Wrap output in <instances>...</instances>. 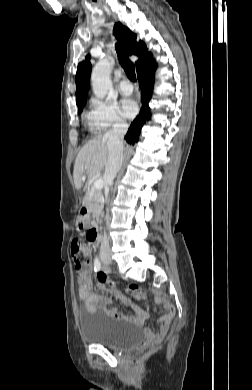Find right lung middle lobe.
I'll use <instances>...</instances> for the list:
<instances>
[{
  "label": "right lung middle lobe",
  "instance_id": "1",
  "mask_svg": "<svg viewBox=\"0 0 252 390\" xmlns=\"http://www.w3.org/2000/svg\"><path fill=\"white\" fill-rule=\"evenodd\" d=\"M83 108V107H82ZM82 108H79V112H81L82 111Z\"/></svg>",
  "mask_w": 252,
  "mask_h": 390
}]
</instances>
